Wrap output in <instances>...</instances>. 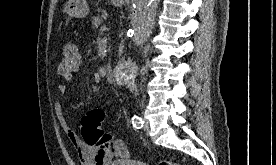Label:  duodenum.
<instances>
[{
	"instance_id": "410a0bca",
	"label": "duodenum",
	"mask_w": 276,
	"mask_h": 165,
	"mask_svg": "<svg viewBox=\"0 0 276 165\" xmlns=\"http://www.w3.org/2000/svg\"><path fill=\"white\" fill-rule=\"evenodd\" d=\"M105 76H106L108 81L113 80V67H112L111 64H107L105 66Z\"/></svg>"
}]
</instances>
